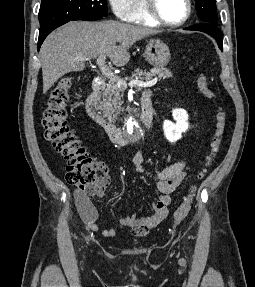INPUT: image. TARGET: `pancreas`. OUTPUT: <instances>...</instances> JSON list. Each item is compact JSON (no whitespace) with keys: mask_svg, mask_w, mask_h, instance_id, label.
I'll return each mask as SVG.
<instances>
[{"mask_svg":"<svg viewBox=\"0 0 255 287\" xmlns=\"http://www.w3.org/2000/svg\"><path fill=\"white\" fill-rule=\"evenodd\" d=\"M153 76H158V78H163V80H165V78H173V74H171L168 68H152L150 72L136 68L131 78H123V80H134V78H137V80H152ZM125 90L126 88H124V86L118 88L117 82L107 84V88L102 94V102H100L101 106L99 110H102L103 118H108L109 122L116 120L118 114L122 112L121 98Z\"/></svg>","mask_w":255,"mask_h":287,"instance_id":"cf45deb5","label":"pancreas"}]
</instances>
